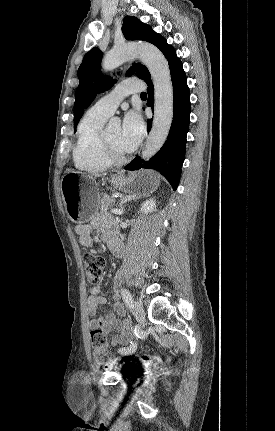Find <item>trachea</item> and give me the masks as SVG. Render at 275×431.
Returning a JSON list of instances; mask_svg holds the SVG:
<instances>
[{
	"instance_id": "obj_1",
	"label": "trachea",
	"mask_w": 275,
	"mask_h": 431,
	"mask_svg": "<svg viewBox=\"0 0 275 431\" xmlns=\"http://www.w3.org/2000/svg\"><path fill=\"white\" fill-rule=\"evenodd\" d=\"M141 97H147V94L145 92L141 93Z\"/></svg>"
}]
</instances>
